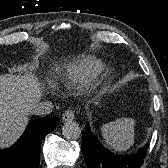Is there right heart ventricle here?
<instances>
[{
  "label": "right heart ventricle",
  "mask_w": 168,
  "mask_h": 168,
  "mask_svg": "<svg viewBox=\"0 0 168 168\" xmlns=\"http://www.w3.org/2000/svg\"><path fill=\"white\" fill-rule=\"evenodd\" d=\"M103 68V63L93 57H83L71 63L65 71L58 74L57 81L62 84H83Z\"/></svg>",
  "instance_id": "1"
}]
</instances>
